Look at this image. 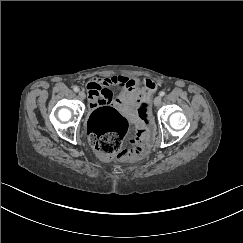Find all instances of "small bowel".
<instances>
[{
  "label": "small bowel",
  "instance_id": "c3829d8e",
  "mask_svg": "<svg viewBox=\"0 0 243 243\" xmlns=\"http://www.w3.org/2000/svg\"><path fill=\"white\" fill-rule=\"evenodd\" d=\"M111 86H116L120 90L116 97H113ZM86 88L92 109L101 105H113L124 115L134 119V108L139 98L150 97L156 90V84L151 79H145L143 87L139 89L134 79L115 75L94 78L87 83Z\"/></svg>",
  "mask_w": 243,
  "mask_h": 243
}]
</instances>
